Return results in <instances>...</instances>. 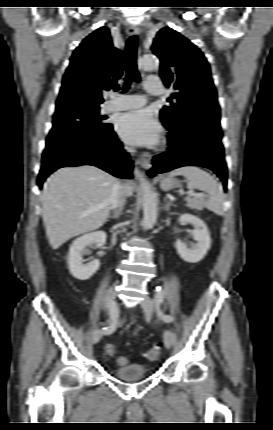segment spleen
<instances>
[{
  "mask_svg": "<svg viewBox=\"0 0 273 430\" xmlns=\"http://www.w3.org/2000/svg\"><path fill=\"white\" fill-rule=\"evenodd\" d=\"M184 176L187 180L188 189L206 191L209 198L204 206L217 215L224 213V196L222 186L206 171L195 166L179 167L169 173V177Z\"/></svg>",
  "mask_w": 273,
  "mask_h": 430,
  "instance_id": "3e777b00",
  "label": "spleen"
}]
</instances>
